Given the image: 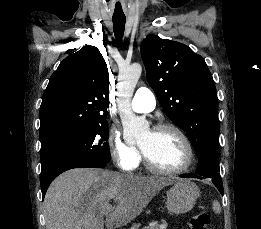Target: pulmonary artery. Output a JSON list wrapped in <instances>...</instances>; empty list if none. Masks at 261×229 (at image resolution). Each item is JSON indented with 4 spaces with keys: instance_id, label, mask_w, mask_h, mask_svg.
<instances>
[{
    "instance_id": "1",
    "label": "pulmonary artery",
    "mask_w": 261,
    "mask_h": 229,
    "mask_svg": "<svg viewBox=\"0 0 261 229\" xmlns=\"http://www.w3.org/2000/svg\"><path fill=\"white\" fill-rule=\"evenodd\" d=\"M156 98L154 93L145 87L139 88L135 95L132 110L137 113H149L155 109Z\"/></svg>"
}]
</instances>
